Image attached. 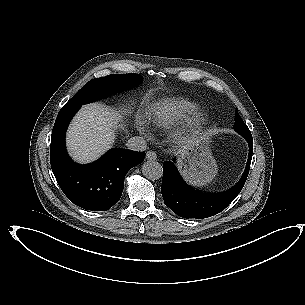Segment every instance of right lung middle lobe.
<instances>
[{
    "label": "right lung middle lobe",
    "instance_id": "obj_1",
    "mask_svg": "<svg viewBox=\"0 0 305 305\" xmlns=\"http://www.w3.org/2000/svg\"><path fill=\"white\" fill-rule=\"evenodd\" d=\"M141 82L139 74H112L96 78L85 84L64 108L79 109L81 105L105 98L115 91H126Z\"/></svg>",
    "mask_w": 305,
    "mask_h": 305
}]
</instances>
